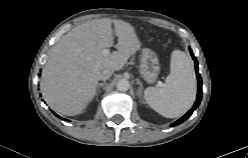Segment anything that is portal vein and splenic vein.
<instances>
[{"label":"portal vein and splenic vein","instance_id":"1","mask_svg":"<svg viewBox=\"0 0 248 158\" xmlns=\"http://www.w3.org/2000/svg\"><path fill=\"white\" fill-rule=\"evenodd\" d=\"M102 53H103V55L107 56V55L110 53V51H109V49H104V50L102 51ZM158 85H159V86H162L163 84H162V82H159Z\"/></svg>","mask_w":248,"mask_h":158}]
</instances>
